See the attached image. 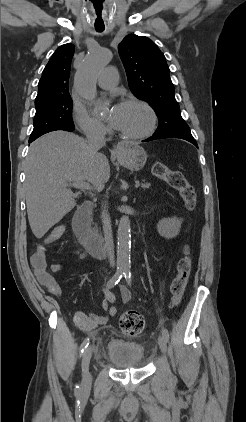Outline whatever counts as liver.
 <instances>
[{
    "mask_svg": "<svg viewBox=\"0 0 246 422\" xmlns=\"http://www.w3.org/2000/svg\"><path fill=\"white\" fill-rule=\"evenodd\" d=\"M25 174L29 224L33 234L42 238L75 207L69 184H105L110 178V166L106 156L93 153L81 137L54 131L30 145Z\"/></svg>",
    "mask_w": 246,
    "mask_h": 422,
    "instance_id": "obj_1",
    "label": "liver"
}]
</instances>
